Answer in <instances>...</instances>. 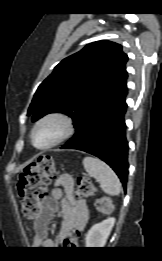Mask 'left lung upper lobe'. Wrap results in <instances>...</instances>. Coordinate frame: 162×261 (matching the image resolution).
<instances>
[{
	"label": "left lung upper lobe",
	"instance_id": "5c2ea615",
	"mask_svg": "<svg viewBox=\"0 0 162 261\" xmlns=\"http://www.w3.org/2000/svg\"><path fill=\"white\" fill-rule=\"evenodd\" d=\"M127 55L122 46L97 41L65 58L38 87L27 115L32 121L60 112L76 130L127 83Z\"/></svg>",
	"mask_w": 162,
	"mask_h": 261
}]
</instances>
